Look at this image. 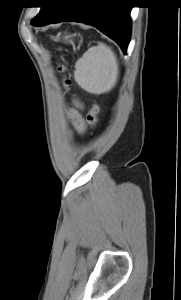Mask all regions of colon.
Returning a JSON list of instances; mask_svg holds the SVG:
<instances>
[{"label": "colon", "mask_w": 181, "mask_h": 300, "mask_svg": "<svg viewBox=\"0 0 181 300\" xmlns=\"http://www.w3.org/2000/svg\"><path fill=\"white\" fill-rule=\"evenodd\" d=\"M64 68L63 67H60V71H63ZM63 84L68 87L70 86V81L68 79H64L63 80ZM99 112H100V107L97 103H93L90 111L88 112L87 114V117H86V120H87V123L88 125L94 129L97 124H98V115H99Z\"/></svg>", "instance_id": "5ec220e1"}]
</instances>
